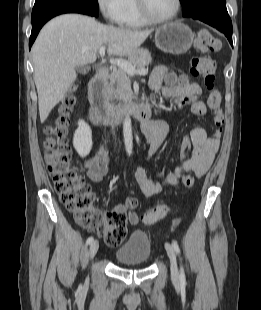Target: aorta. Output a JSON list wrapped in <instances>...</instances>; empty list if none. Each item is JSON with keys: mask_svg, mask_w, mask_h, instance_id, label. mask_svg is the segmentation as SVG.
I'll return each mask as SVG.
<instances>
[{"mask_svg": "<svg viewBox=\"0 0 261 310\" xmlns=\"http://www.w3.org/2000/svg\"><path fill=\"white\" fill-rule=\"evenodd\" d=\"M123 138L126 152L128 154H131L133 149V136H132L131 119L129 117H126L123 122Z\"/></svg>", "mask_w": 261, "mask_h": 310, "instance_id": "obj_1", "label": "aorta"}]
</instances>
